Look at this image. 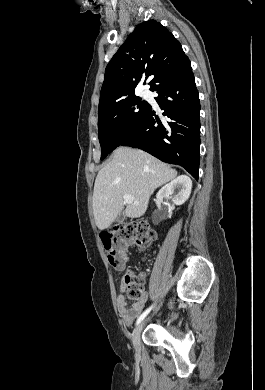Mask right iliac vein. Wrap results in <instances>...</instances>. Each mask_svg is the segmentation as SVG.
Instances as JSON below:
<instances>
[{
	"label": "right iliac vein",
	"instance_id": "obj_1",
	"mask_svg": "<svg viewBox=\"0 0 265 390\" xmlns=\"http://www.w3.org/2000/svg\"><path fill=\"white\" fill-rule=\"evenodd\" d=\"M157 310H158V308L156 309V311ZM144 324H145V321H142L136 327V329L134 330L133 335H132V343H133L134 349L137 353L140 352V348H141L140 336H141V332H142Z\"/></svg>",
	"mask_w": 265,
	"mask_h": 390
}]
</instances>
